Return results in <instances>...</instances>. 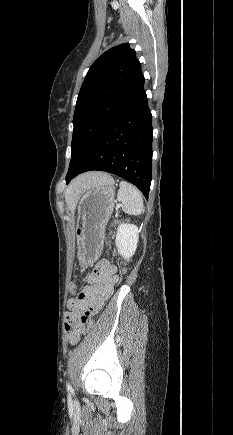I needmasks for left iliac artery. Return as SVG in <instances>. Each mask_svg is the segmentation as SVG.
<instances>
[{
  "mask_svg": "<svg viewBox=\"0 0 233 435\" xmlns=\"http://www.w3.org/2000/svg\"><path fill=\"white\" fill-rule=\"evenodd\" d=\"M66 387H67L68 391H70V392L72 391V387H71L70 383L67 382L66 383Z\"/></svg>",
  "mask_w": 233,
  "mask_h": 435,
  "instance_id": "44dca946",
  "label": "left iliac artery"
}]
</instances>
